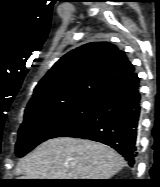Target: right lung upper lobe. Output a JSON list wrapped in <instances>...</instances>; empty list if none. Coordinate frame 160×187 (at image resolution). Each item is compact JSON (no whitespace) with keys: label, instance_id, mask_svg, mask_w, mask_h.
<instances>
[{"label":"right lung upper lobe","instance_id":"obj_1","mask_svg":"<svg viewBox=\"0 0 160 187\" xmlns=\"http://www.w3.org/2000/svg\"><path fill=\"white\" fill-rule=\"evenodd\" d=\"M134 71L125 53L115 45H82L60 58L39 81L26 110L75 99H100Z\"/></svg>","mask_w":160,"mask_h":187}]
</instances>
